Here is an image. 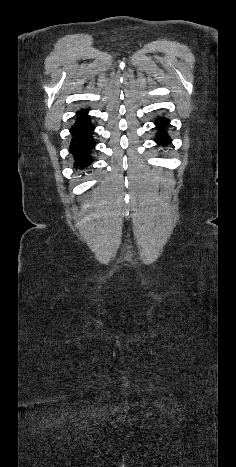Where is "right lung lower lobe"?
Wrapping results in <instances>:
<instances>
[{
	"label": "right lung lower lobe",
	"instance_id": "98d812e1",
	"mask_svg": "<svg viewBox=\"0 0 236 467\" xmlns=\"http://www.w3.org/2000/svg\"><path fill=\"white\" fill-rule=\"evenodd\" d=\"M87 110L81 109L76 114V122L71 128V153L75 157V165L87 167L93 161L90 151L94 148L95 142L92 138L94 126L91 124Z\"/></svg>",
	"mask_w": 236,
	"mask_h": 467
}]
</instances>
